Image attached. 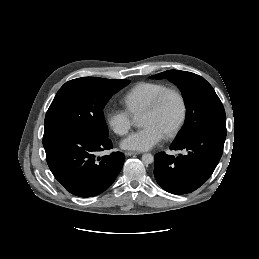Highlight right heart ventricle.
Here are the masks:
<instances>
[{
	"label": "right heart ventricle",
	"instance_id": "1",
	"mask_svg": "<svg viewBox=\"0 0 259 259\" xmlns=\"http://www.w3.org/2000/svg\"><path fill=\"white\" fill-rule=\"evenodd\" d=\"M167 88L168 86L161 82H140L124 95L123 102L133 116H138Z\"/></svg>",
	"mask_w": 259,
	"mask_h": 259
}]
</instances>
